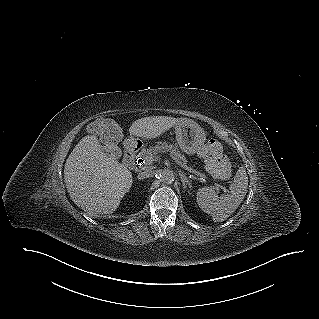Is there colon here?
Wrapping results in <instances>:
<instances>
[{
    "label": "colon",
    "mask_w": 319,
    "mask_h": 319,
    "mask_svg": "<svg viewBox=\"0 0 319 319\" xmlns=\"http://www.w3.org/2000/svg\"><path fill=\"white\" fill-rule=\"evenodd\" d=\"M87 134H98L102 138L103 148L105 150H112V157L114 159H121L123 157V150L115 148L121 142V129L109 119L102 121H95L86 129ZM203 155L206 158V166L208 171L215 178L226 179L230 172L229 162L223 154V147L221 143L215 139L210 140L203 148Z\"/></svg>",
    "instance_id": "obj_1"
}]
</instances>
